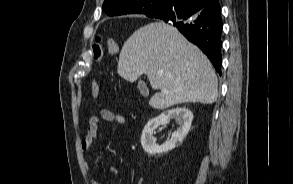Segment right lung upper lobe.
<instances>
[{"label": "right lung upper lobe", "mask_w": 293, "mask_h": 184, "mask_svg": "<svg viewBox=\"0 0 293 184\" xmlns=\"http://www.w3.org/2000/svg\"><path fill=\"white\" fill-rule=\"evenodd\" d=\"M157 1L162 0H104L102 10L109 16H118L126 14H145L146 16L153 18L157 14L152 15L150 13V6ZM176 1L178 0H165V8L174 5ZM196 1H201L202 3H204V7H206L217 2L218 0Z\"/></svg>", "instance_id": "1"}]
</instances>
